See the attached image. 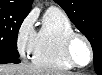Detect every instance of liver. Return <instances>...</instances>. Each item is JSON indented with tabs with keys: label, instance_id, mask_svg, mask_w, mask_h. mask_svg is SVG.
I'll use <instances>...</instances> for the list:
<instances>
[{
	"label": "liver",
	"instance_id": "6515ba94",
	"mask_svg": "<svg viewBox=\"0 0 102 75\" xmlns=\"http://www.w3.org/2000/svg\"><path fill=\"white\" fill-rule=\"evenodd\" d=\"M0 75H70L53 69L36 66L33 64L14 65L3 64L0 66Z\"/></svg>",
	"mask_w": 102,
	"mask_h": 75
}]
</instances>
